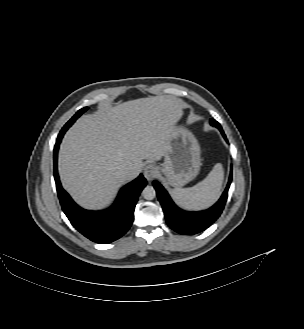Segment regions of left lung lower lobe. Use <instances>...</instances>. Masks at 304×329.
<instances>
[{
  "mask_svg": "<svg viewBox=\"0 0 304 329\" xmlns=\"http://www.w3.org/2000/svg\"><path fill=\"white\" fill-rule=\"evenodd\" d=\"M210 123L211 125L217 127L220 130L224 139L226 140V136L220 124L214 119H212ZM231 181L232 169L230 171V177L227 187L220 199L211 208L197 212H187L178 208L170 198L167 191L159 182L154 181L153 185L156 190L158 200L162 205L166 222L168 223V225L174 231L180 234L193 235L207 229L221 215L228 197V189L230 187Z\"/></svg>",
  "mask_w": 304,
  "mask_h": 329,
  "instance_id": "0a47b994",
  "label": "left lung lower lobe"
}]
</instances>
